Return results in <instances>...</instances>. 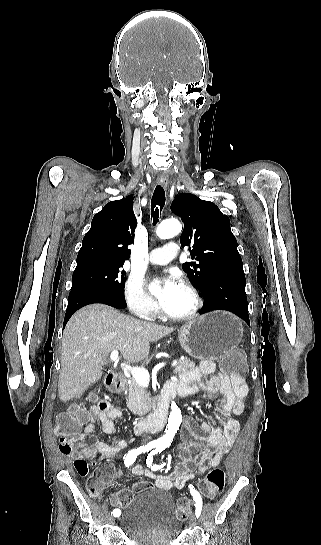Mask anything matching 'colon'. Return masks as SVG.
<instances>
[{
  "label": "colon",
  "mask_w": 321,
  "mask_h": 545,
  "mask_svg": "<svg viewBox=\"0 0 321 545\" xmlns=\"http://www.w3.org/2000/svg\"><path fill=\"white\" fill-rule=\"evenodd\" d=\"M221 369L224 373L234 378H244L246 366L243 356L240 353H232L221 360ZM87 419L86 410L78 405H72L67 411L57 417L55 433L59 437V450L65 455L79 454L78 446L82 443L88 445L94 441L93 437L80 435V429ZM77 472L86 479V489L88 493L98 498L103 489V480L108 475L105 471L95 472L89 475L83 461L75 463ZM225 486V473L220 468L212 469L204 479L198 483V490L202 496L208 499L215 498L222 492ZM148 482H139L134 486V492H139L150 488ZM133 497L130 490H122L112 498V505L120 510L124 509ZM192 500L190 498H181L177 501L176 516L183 521L188 519L191 513Z\"/></svg>",
  "instance_id": "1"
}]
</instances>
